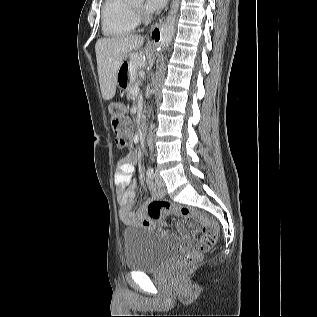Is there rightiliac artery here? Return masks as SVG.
I'll return each instance as SVG.
<instances>
[{
    "mask_svg": "<svg viewBox=\"0 0 317 317\" xmlns=\"http://www.w3.org/2000/svg\"><path fill=\"white\" fill-rule=\"evenodd\" d=\"M147 177L148 179H150L151 181H153L156 178V174L153 168H150L147 170Z\"/></svg>",
    "mask_w": 317,
    "mask_h": 317,
    "instance_id": "right-iliac-artery-1",
    "label": "right iliac artery"
}]
</instances>
